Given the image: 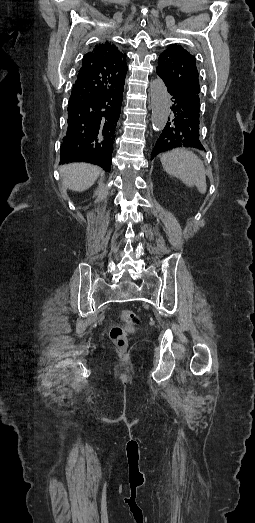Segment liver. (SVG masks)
<instances>
[{
    "instance_id": "obj_1",
    "label": "liver",
    "mask_w": 255,
    "mask_h": 523,
    "mask_svg": "<svg viewBox=\"0 0 255 523\" xmlns=\"http://www.w3.org/2000/svg\"><path fill=\"white\" fill-rule=\"evenodd\" d=\"M59 172L66 188L73 190V192H85L99 178L100 168L82 162V164L60 166Z\"/></svg>"
}]
</instances>
